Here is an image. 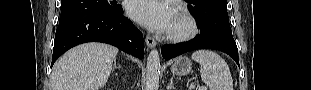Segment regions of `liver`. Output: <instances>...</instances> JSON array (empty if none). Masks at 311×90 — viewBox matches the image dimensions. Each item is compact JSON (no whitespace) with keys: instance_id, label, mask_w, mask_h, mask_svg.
<instances>
[{"instance_id":"6515ba94","label":"liver","mask_w":311,"mask_h":90,"mask_svg":"<svg viewBox=\"0 0 311 90\" xmlns=\"http://www.w3.org/2000/svg\"><path fill=\"white\" fill-rule=\"evenodd\" d=\"M117 54V48L95 42L70 49L53 66L52 90H99L107 82Z\"/></svg>"}]
</instances>
